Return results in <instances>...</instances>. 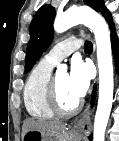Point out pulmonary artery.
I'll list each match as a JSON object with an SVG mask.
<instances>
[{"mask_svg":"<svg viewBox=\"0 0 119 141\" xmlns=\"http://www.w3.org/2000/svg\"><path fill=\"white\" fill-rule=\"evenodd\" d=\"M81 40L69 37L56 44L43 58L44 61L52 65L59 64L64 58L81 46Z\"/></svg>","mask_w":119,"mask_h":141,"instance_id":"pulmonary-artery-1","label":"pulmonary artery"}]
</instances>
